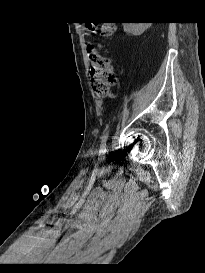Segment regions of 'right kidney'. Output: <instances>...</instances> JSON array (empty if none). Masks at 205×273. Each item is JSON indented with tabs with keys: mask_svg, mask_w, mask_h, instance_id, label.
<instances>
[{
	"mask_svg": "<svg viewBox=\"0 0 205 273\" xmlns=\"http://www.w3.org/2000/svg\"><path fill=\"white\" fill-rule=\"evenodd\" d=\"M124 31L127 33L141 34L147 29L150 23H124Z\"/></svg>",
	"mask_w": 205,
	"mask_h": 273,
	"instance_id": "ca27d5eb",
	"label": "right kidney"
}]
</instances>
